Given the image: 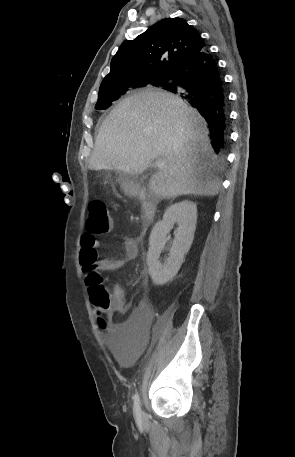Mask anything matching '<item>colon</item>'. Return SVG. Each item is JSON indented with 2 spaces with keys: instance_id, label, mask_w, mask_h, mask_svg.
<instances>
[{
  "instance_id": "obj_1",
  "label": "colon",
  "mask_w": 295,
  "mask_h": 457,
  "mask_svg": "<svg viewBox=\"0 0 295 457\" xmlns=\"http://www.w3.org/2000/svg\"><path fill=\"white\" fill-rule=\"evenodd\" d=\"M86 228L94 234L107 233L111 229V219L105 203L94 199L88 204ZM83 273L91 292L92 301L96 307L98 324L102 331L108 328L107 314L110 308V297L95 265L85 263Z\"/></svg>"
}]
</instances>
